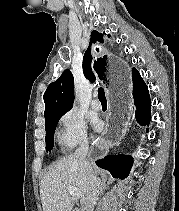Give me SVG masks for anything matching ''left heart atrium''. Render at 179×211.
<instances>
[{
	"mask_svg": "<svg viewBox=\"0 0 179 211\" xmlns=\"http://www.w3.org/2000/svg\"><path fill=\"white\" fill-rule=\"evenodd\" d=\"M94 126L98 129V128L100 127V122L95 121V122H94Z\"/></svg>",
	"mask_w": 179,
	"mask_h": 211,
	"instance_id": "1",
	"label": "left heart atrium"
}]
</instances>
